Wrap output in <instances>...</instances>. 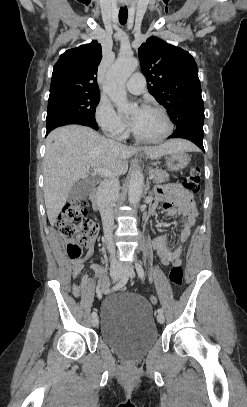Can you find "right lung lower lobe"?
<instances>
[{
  "label": "right lung lower lobe",
  "instance_id": "98d812e1",
  "mask_svg": "<svg viewBox=\"0 0 247 407\" xmlns=\"http://www.w3.org/2000/svg\"><path fill=\"white\" fill-rule=\"evenodd\" d=\"M68 124H79V125L89 126V127L93 128L95 130L98 129L97 124H92V123H88V122L81 121V120H68V119H65V120L57 121V122L53 123L50 126H47L46 136L49 134L50 131H52L56 127L63 126V125H68Z\"/></svg>",
  "mask_w": 247,
  "mask_h": 407
}]
</instances>
